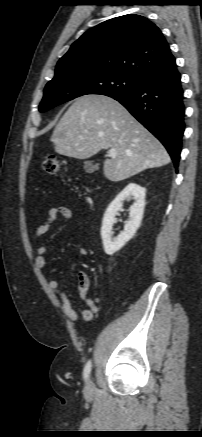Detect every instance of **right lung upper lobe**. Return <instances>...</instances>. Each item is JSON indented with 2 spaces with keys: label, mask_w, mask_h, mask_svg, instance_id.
<instances>
[{
  "label": "right lung upper lobe",
  "mask_w": 202,
  "mask_h": 437,
  "mask_svg": "<svg viewBox=\"0 0 202 437\" xmlns=\"http://www.w3.org/2000/svg\"><path fill=\"white\" fill-rule=\"evenodd\" d=\"M175 60L161 30L147 18L128 14L85 32L58 61L66 73H121L137 79Z\"/></svg>",
  "instance_id": "cb5924a9"
}]
</instances>
